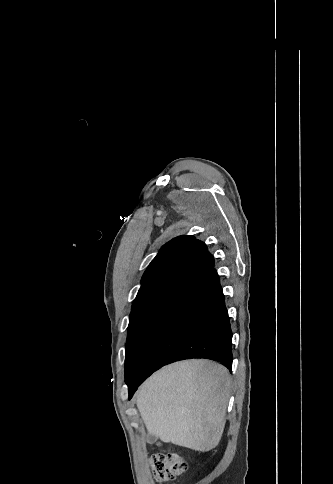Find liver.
Instances as JSON below:
<instances>
[{
    "mask_svg": "<svg viewBox=\"0 0 333 484\" xmlns=\"http://www.w3.org/2000/svg\"><path fill=\"white\" fill-rule=\"evenodd\" d=\"M230 376L221 364L188 360L162 368L136 394L149 434L166 443L207 452L221 440Z\"/></svg>",
    "mask_w": 333,
    "mask_h": 484,
    "instance_id": "obj_1",
    "label": "liver"
}]
</instances>
